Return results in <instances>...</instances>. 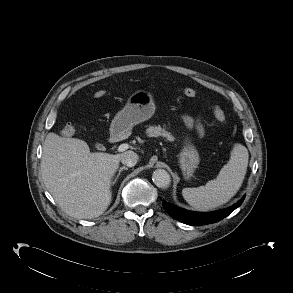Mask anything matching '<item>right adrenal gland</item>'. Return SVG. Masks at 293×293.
I'll return each mask as SVG.
<instances>
[{"mask_svg": "<svg viewBox=\"0 0 293 293\" xmlns=\"http://www.w3.org/2000/svg\"><path fill=\"white\" fill-rule=\"evenodd\" d=\"M123 170H128V168H127V167H121V168L119 169V172H118L117 176H116V177L114 178V180L112 181V185H114V184L116 183V181L119 179V176H120V174H121V172H122Z\"/></svg>", "mask_w": 293, "mask_h": 293, "instance_id": "right-adrenal-gland-1", "label": "right adrenal gland"}]
</instances>
